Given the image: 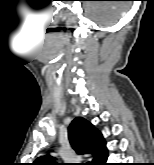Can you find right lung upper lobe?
Segmentation results:
<instances>
[{
  "label": "right lung upper lobe",
  "instance_id": "obj_1",
  "mask_svg": "<svg viewBox=\"0 0 154 165\" xmlns=\"http://www.w3.org/2000/svg\"><path fill=\"white\" fill-rule=\"evenodd\" d=\"M68 136L72 148L78 154H91L94 158L97 156L101 145L105 142L101 132L82 117H77L72 121L69 126ZM54 160V157L44 155L38 157L33 165H60L55 163Z\"/></svg>",
  "mask_w": 154,
  "mask_h": 165
}]
</instances>
